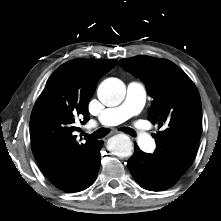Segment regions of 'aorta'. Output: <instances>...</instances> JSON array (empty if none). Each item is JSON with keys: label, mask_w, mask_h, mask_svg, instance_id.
<instances>
[{"label": "aorta", "mask_w": 221, "mask_h": 221, "mask_svg": "<svg viewBox=\"0 0 221 221\" xmlns=\"http://www.w3.org/2000/svg\"><path fill=\"white\" fill-rule=\"evenodd\" d=\"M124 83L117 78H108L98 87V99L105 106H117L125 97ZM108 149L118 157H128L132 154L133 146L130 138L124 134H118L109 139Z\"/></svg>", "instance_id": "aorta-1"}]
</instances>
